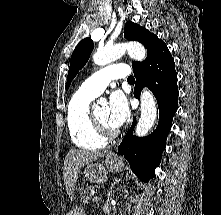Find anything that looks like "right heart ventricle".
Here are the masks:
<instances>
[{
    "instance_id": "e07e8e85",
    "label": "right heart ventricle",
    "mask_w": 221,
    "mask_h": 215,
    "mask_svg": "<svg viewBox=\"0 0 221 215\" xmlns=\"http://www.w3.org/2000/svg\"><path fill=\"white\" fill-rule=\"evenodd\" d=\"M94 95L77 90L67 107V128L73 144L84 150H98L106 145L91 118L90 104Z\"/></svg>"
}]
</instances>
